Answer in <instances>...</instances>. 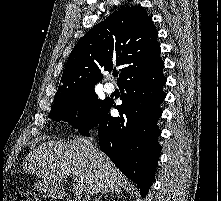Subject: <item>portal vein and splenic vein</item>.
Segmentation results:
<instances>
[{"instance_id": "1", "label": "portal vein and splenic vein", "mask_w": 221, "mask_h": 201, "mask_svg": "<svg viewBox=\"0 0 221 201\" xmlns=\"http://www.w3.org/2000/svg\"><path fill=\"white\" fill-rule=\"evenodd\" d=\"M76 183L74 184V191L76 194H82L84 187L81 182H78L77 179H75Z\"/></svg>"}]
</instances>
